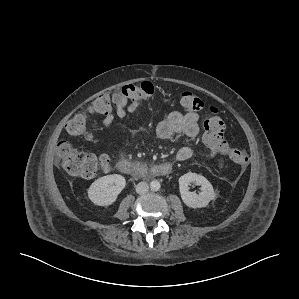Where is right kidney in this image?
I'll list each match as a JSON object with an SVG mask.
<instances>
[{
	"label": "right kidney",
	"instance_id": "right-kidney-1",
	"mask_svg": "<svg viewBox=\"0 0 299 299\" xmlns=\"http://www.w3.org/2000/svg\"><path fill=\"white\" fill-rule=\"evenodd\" d=\"M125 186V178L121 175L103 176L91 184L88 189V197L95 205L108 206L116 201Z\"/></svg>",
	"mask_w": 299,
	"mask_h": 299
}]
</instances>
